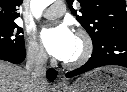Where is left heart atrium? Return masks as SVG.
<instances>
[{
	"label": "left heart atrium",
	"mask_w": 127,
	"mask_h": 92,
	"mask_svg": "<svg viewBox=\"0 0 127 92\" xmlns=\"http://www.w3.org/2000/svg\"><path fill=\"white\" fill-rule=\"evenodd\" d=\"M41 41L46 51L59 60H66L74 46L75 35L67 25L44 29Z\"/></svg>",
	"instance_id": "39dd6f15"
}]
</instances>
